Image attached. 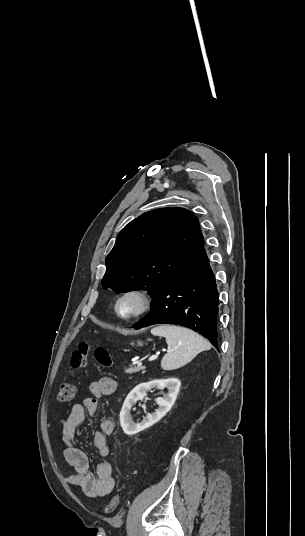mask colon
I'll list each match as a JSON object with an SVG mask.
<instances>
[{
	"instance_id": "1",
	"label": "colon",
	"mask_w": 305,
	"mask_h": 536,
	"mask_svg": "<svg viewBox=\"0 0 305 536\" xmlns=\"http://www.w3.org/2000/svg\"><path fill=\"white\" fill-rule=\"evenodd\" d=\"M93 355L98 364L104 367H112L114 362L110 356L107 348L103 346L93 347L90 342L82 341L79 343L78 347L71 354L70 368L72 371L73 378L79 375V372L83 370L88 363V358ZM75 392V383L66 382L63 383L58 392V401L62 404L70 403L73 399ZM119 503V496L113 494L111 501L105 507V513L111 514Z\"/></svg>"
}]
</instances>
